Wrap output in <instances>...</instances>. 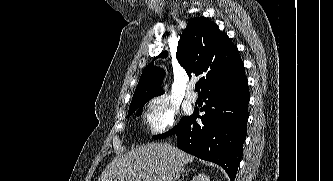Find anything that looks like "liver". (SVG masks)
Wrapping results in <instances>:
<instances>
[{
  "label": "liver",
  "instance_id": "6515ba94",
  "mask_svg": "<svg viewBox=\"0 0 333 181\" xmlns=\"http://www.w3.org/2000/svg\"><path fill=\"white\" fill-rule=\"evenodd\" d=\"M194 156L165 143H152L115 157L98 181H176Z\"/></svg>",
  "mask_w": 333,
  "mask_h": 181
}]
</instances>
